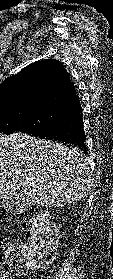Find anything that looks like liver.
I'll list each match as a JSON object with an SVG mask.
<instances>
[{"mask_svg":"<svg viewBox=\"0 0 113 279\" xmlns=\"http://www.w3.org/2000/svg\"><path fill=\"white\" fill-rule=\"evenodd\" d=\"M88 164L76 148L25 133L0 134V199L21 209L81 201L93 184Z\"/></svg>","mask_w":113,"mask_h":279,"instance_id":"liver-1","label":"liver"}]
</instances>
